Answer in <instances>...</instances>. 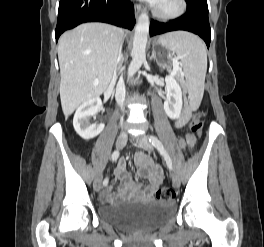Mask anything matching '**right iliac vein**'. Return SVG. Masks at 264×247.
Masks as SVG:
<instances>
[{
  "label": "right iliac vein",
  "instance_id": "right-iliac-vein-1",
  "mask_svg": "<svg viewBox=\"0 0 264 247\" xmlns=\"http://www.w3.org/2000/svg\"><path fill=\"white\" fill-rule=\"evenodd\" d=\"M127 143V134L125 132H121L116 140V147L118 149H122ZM101 175H98L94 181V189L99 191L101 189Z\"/></svg>",
  "mask_w": 264,
  "mask_h": 247
}]
</instances>
